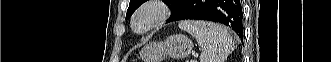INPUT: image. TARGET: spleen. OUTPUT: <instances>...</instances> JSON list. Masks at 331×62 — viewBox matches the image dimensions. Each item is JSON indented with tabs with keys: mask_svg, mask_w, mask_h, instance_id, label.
<instances>
[{
	"mask_svg": "<svg viewBox=\"0 0 331 62\" xmlns=\"http://www.w3.org/2000/svg\"><path fill=\"white\" fill-rule=\"evenodd\" d=\"M179 28L194 36L202 48L200 62H224L235 48L231 32L217 23L184 20Z\"/></svg>",
	"mask_w": 331,
	"mask_h": 62,
	"instance_id": "obj_1",
	"label": "spleen"
}]
</instances>
